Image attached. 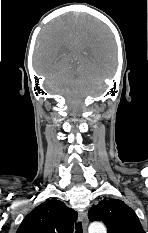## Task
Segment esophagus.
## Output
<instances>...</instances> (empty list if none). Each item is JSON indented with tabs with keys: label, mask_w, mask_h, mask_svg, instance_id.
<instances>
[{
	"label": "esophagus",
	"mask_w": 148,
	"mask_h": 233,
	"mask_svg": "<svg viewBox=\"0 0 148 233\" xmlns=\"http://www.w3.org/2000/svg\"><path fill=\"white\" fill-rule=\"evenodd\" d=\"M79 217H80V220L83 224L84 233H87L88 219H87L86 212H84V211L80 212Z\"/></svg>",
	"instance_id": "1"
}]
</instances>
